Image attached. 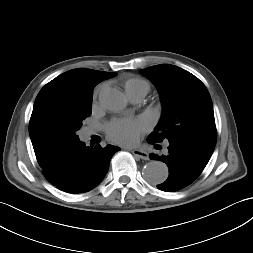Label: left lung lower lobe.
<instances>
[{"label": "left lung lower lobe", "instance_id": "obj_1", "mask_svg": "<svg viewBox=\"0 0 253 253\" xmlns=\"http://www.w3.org/2000/svg\"><path fill=\"white\" fill-rule=\"evenodd\" d=\"M148 143H156L147 139ZM169 154L158 156L151 154L150 158L159 160L169 167L167 180L157 188L173 192L191 184L207 165L215 145L188 139H175L169 141Z\"/></svg>", "mask_w": 253, "mask_h": 253}]
</instances>
